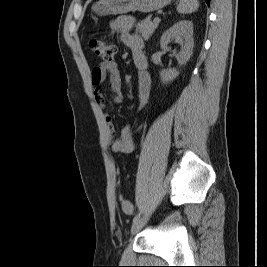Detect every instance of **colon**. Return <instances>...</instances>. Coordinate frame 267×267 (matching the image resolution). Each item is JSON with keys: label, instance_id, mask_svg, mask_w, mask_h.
Wrapping results in <instances>:
<instances>
[{"label": "colon", "instance_id": "colon-1", "mask_svg": "<svg viewBox=\"0 0 267 267\" xmlns=\"http://www.w3.org/2000/svg\"><path fill=\"white\" fill-rule=\"evenodd\" d=\"M89 48L105 62H111L116 54V47L114 44L95 36L90 38ZM120 205L125 214L131 215L133 213V205L130 201L120 197Z\"/></svg>", "mask_w": 267, "mask_h": 267}]
</instances>
